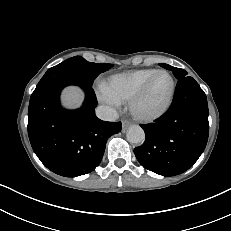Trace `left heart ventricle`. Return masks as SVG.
Returning a JSON list of instances; mask_svg holds the SVG:
<instances>
[{
  "label": "left heart ventricle",
  "instance_id": "b2bd125f",
  "mask_svg": "<svg viewBox=\"0 0 231 231\" xmlns=\"http://www.w3.org/2000/svg\"><path fill=\"white\" fill-rule=\"evenodd\" d=\"M170 91V79L168 76L161 74L158 75L148 94L140 103V110L144 112L153 111L159 108L166 100Z\"/></svg>",
  "mask_w": 231,
  "mask_h": 231
}]
</instances>
